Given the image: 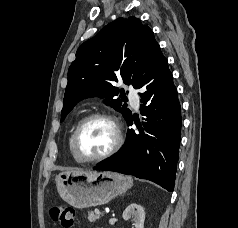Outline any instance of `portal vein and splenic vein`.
<instances>
[{
    "instance_id": "18ae733b",
    "label": "portal vein and splenic vein",
    "mask_w": 238,
    "mask_h": 228,
    "mask_svg": "<svg viewBox=\"0 0 238 228\" xmlns=\"http://www.w3.org/2000/svg\"><path fill=\"white\" fill-rule=\"evenodd\" d=\"M95 213L99 215L100 214V210L99 209H95Z\"/></svg>"
}]
</instances>
